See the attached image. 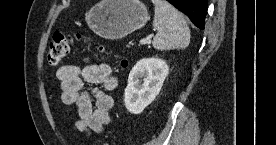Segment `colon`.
Listing matches in <instances>:
<instances>
[{"label":"colon","mask_w":276,"mask_h":145,"mask_svg":"<svg viewBox=\"0 0 276 145\" xmlns=\"http://www.w3.org/2000/svg\"><path fill=\"white\" fill-rule=\"evenodd\" d=\"M82 40L87 41L80 34L65 35L61 32H55L50 42L49 50L47 54L48 64L50 66L58 65L63 60V58L68 54L73 43L76 41H82ZM100 51H103L102 47H100ZM120 65L123 68H126L128 66V61L126 59H122L120 61Z\"/></svg>","instance_id":"colon-1"}]
</instances>
